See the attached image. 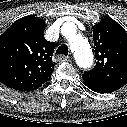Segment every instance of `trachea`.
I'll use <instances>...</instances> for the list:
<instances>
[{"label": "trachea", "mask_w": 127, "mask_h": 127, "mask_svg": "<svg viewBox=\"0 0 127 127\" xmlns=\"http://www.w3.org/2000/svg\"><path fill=\"white\" fill-rule=\"evenodd\" d=\"M56 54L68 55V47L66 45H61L56 50Z\"/></svg>", "instance_id": "3493384b"}]
</instances>
